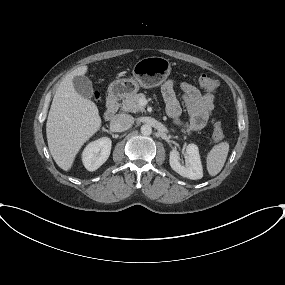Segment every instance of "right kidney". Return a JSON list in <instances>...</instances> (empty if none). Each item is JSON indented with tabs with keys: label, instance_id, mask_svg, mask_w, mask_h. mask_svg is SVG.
Here are the masks:
<instances>
[{
	"label": "right kidney",
	"instance_id": "obj_1",
	"mask_svg": "<svg viewBox=\"0 0 285 285\" xmlns=\"http://www.w3.org/2000/svg\"><path fill=\"white\" fill-rule=\"evenodd\" d=\"M112 142L108 137H102L89 143L83 153L82 162L88 171H95L108 159Z\"/></svg>",
	"mask_w": 285,
	"mask_h": 285
}]
</instances>
